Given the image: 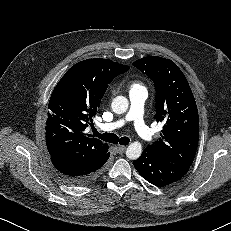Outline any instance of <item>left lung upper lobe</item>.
Masks as SVG:
<instances>
[{
  "instance_id": "5c2ea615",
  "label": "left lung upper lobe",
  "mask_w": 231,
  "mask_h": 231,
  "mask_svg": "<svg viewBox=\"0 0 231 231\" xmlns=\"http://www.w3.org/2000/svg\"><path fill=\"white\" fill-rule=\"evenodd\" d=\"M133 65L153 80L156 89L154 118L164 123L160 141L145 149L162 160L190 167L198 146L199 118L188 81L169 59L148 56Z\"/></svg>"
}]
</instances>
